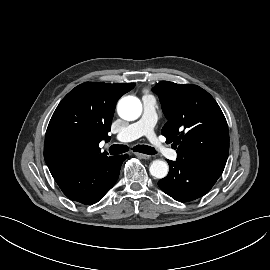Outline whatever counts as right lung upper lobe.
I'll list each match as a JSON object with an SVG mask.
<instances>
[{"label":"right lung upper lobe","mask_w":270,"mask_h":270,"mask_svg":"<svg viewBox=\"0 0 270 270\" xmlns=\"http://www.w3.org/2000/svg\"><path fill=\"white\" fill-rule=\"evenodd\" d=\"M134 86L86 82L61 100L49 122L44 144V159L53 177L107 157L99 143L110 140L116 102Z\"/></svg>","instance_id":"obj_1"}]
</instances>
